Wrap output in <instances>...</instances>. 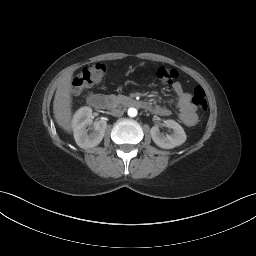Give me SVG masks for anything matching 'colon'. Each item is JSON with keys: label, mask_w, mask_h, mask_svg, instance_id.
<instances>
[{"label": "colon", "mask_w": 256, "mask_h": 256, "mask_svg": "<svg viewBox=\"0 0 256 256\" xmlns=\"http://www.w3.org/2000/svg\"><path fill=\"white\" fill-rule=\"evenodd\" d=\"M105 71L106 68L102 63H95L83 68L73 78V92L78 94L91 86L94 82L100 81L104 76ZM177 76V71L172 68L159 67L156 70L157 79L165 84L172 83ZM192 102L195 107L201 111H205L207 109L206 94L201 86H196L193 89Z\"/></svg>", "instance_id": "colon-1"}]
</instances>
